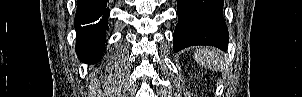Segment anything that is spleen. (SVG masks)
I'll use <instances>...</instances> for the list:
<instances>
[{"label": "spleen", "instance_id": "obj_1", "mask_svg": "<svg viewBox=\"0 0 302 97\" xmlns=\"http://www.w3.org/2000/svg\"><path fill=\"white\" fill-rule=\"evenodd\" d=\"M197 63L210 70H220L223 62L220 54L212 47H199L194 53Z\"/></svg>", "mask_w": 302, "mask_h": 97}]
</instances>
